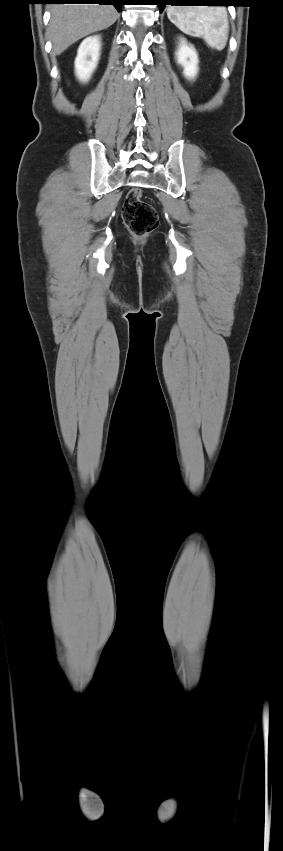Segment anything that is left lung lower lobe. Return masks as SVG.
I'll return each instance as SVG.
<instances>
[{"instance_id":"obj_1","label":"left lung lower lobe","mask_w":283,"mask_h":851,"mask_svg":"<svg viewBox=\"0 0 283 851\" xmlns=\"http://www.w3.org/2000/svg\"><path fill=\"white\" fill-rule=\"evenodd\" d=\"M229 0H156L158 2L160 12L163 11L166 5H223L227 6Z\"/></svg>"}]
</instances>
